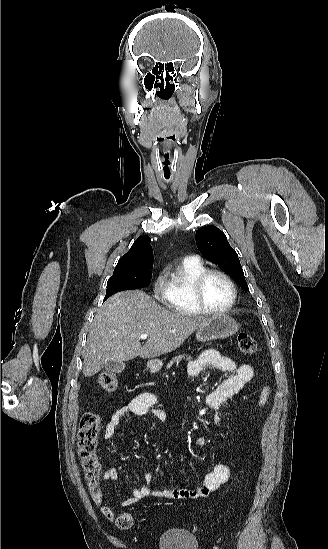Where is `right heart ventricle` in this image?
Returning a JSON list of instances; mask_svg holds the SVG:
<instances>
[{
    "mask_svg": "<svg viewBox=\"0 0 328 549\" xmlns=\"http://www.w3.org/2000/svg\"><path fill=\"white\" fill-rule=\"evenodd\" d=\"M207 262L197 255H189L182 259L175 271L165 281L159 303H172V310H180V319H203L196 313L192 286L195 278L207 267Z\"/></svg>",
    "mask_w": 328,
    "mask_h": 549,
    "instance_id": "1",
    "label": "right heart ventricle"
}]
</instances>
